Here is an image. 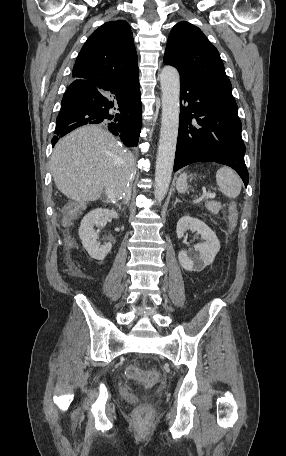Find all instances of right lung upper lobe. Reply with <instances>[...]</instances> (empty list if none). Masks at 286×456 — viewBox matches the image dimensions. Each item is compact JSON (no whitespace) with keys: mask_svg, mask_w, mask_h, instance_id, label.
I'll use <instances>...</instances> for the list:
<instances>
[{"mask_svg":"<svg viewBox=\"0 0 286 456\" xmlns=\"http://www.w3.org/2000/svg\"><path fill=\"white\" fill-rule=\"evenodd\" d=\"M72 76L105 87L136 79L139 72L130 25L117 20L95 30L82 47Z\"/></svg>","mask_w":286,"mask_h":456,"instance_id":"cb5924a9","label":"right lung upper lobe"}]
</instances>
